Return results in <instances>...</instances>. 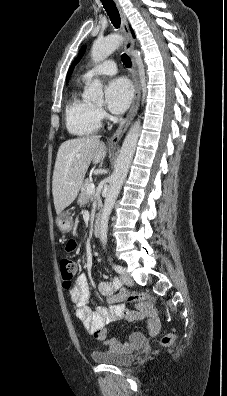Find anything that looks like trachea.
I'll return each mask as SVG.
<instances>
[{"mask_svg":"<svg viewBox=\"0 0 227 396\" xmlns=\"http://www.w3.org/2000/svg\"><path fill=\"white\" fill-rule=\"evenodd\" d=\"M101 2L114 27L119 28L121 20L115 3L112 0H101ZM122 62L125 67H131V59L128 57L127 54L122 55Z\"/></svg>","mask_w":227,"mask_h":396,"instance_id":"3493384b","label":"trachea"}]
</instances>
